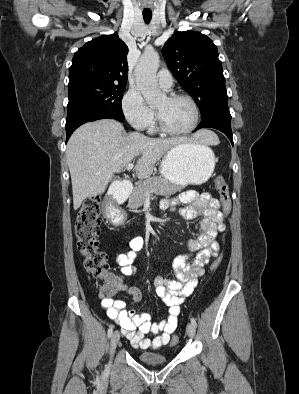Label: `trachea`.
I'll return each mask as SVG.
<instances>
[{
    "label": "trachea",
    "instance_id": "1",
    "mask_svg": "<svg viewBox=\"0 0 299 394\" xmlns=\"http://www.w3.org/2000/svg\"><path fill=\"white\" fill-rule=\"evenodd\" d=\"M143 19L146 24L150 23L152 19V11H143Z\"/></svg>",
    "mask_w": 299,
    "mask_h": 394
}]
</instances>
